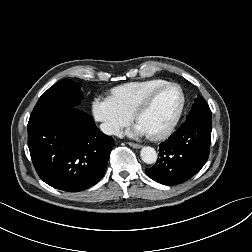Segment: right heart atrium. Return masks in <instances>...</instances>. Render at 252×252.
<instances>
[{
  "mask_svg": "<svg viewBox=\"0 0 252 252\" xmlns=\"http://www.w3.org/2000/svg\"><path fill=\"white\" fill-rule=\"evenodd\" d=\"M91 110L101 130L108 135H118L133 118V114L117 104L111 96H95Z\"/></svg>",
  "mask_w": 252,
  "mask_h": 252,
  "instance_id": "d8ad5b80",
  "label": "right heart atrium"
}]
</instances>
